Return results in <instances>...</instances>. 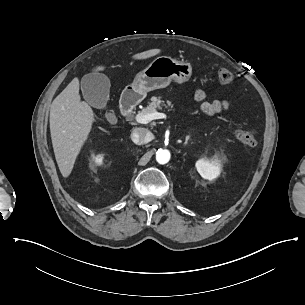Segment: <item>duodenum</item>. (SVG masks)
Instances as JSON below:
<instances>
[{"label":"duodenum","mask_w":305,"mask_h":305,"mask_svg":"<svg viewBox=\"0 0 305 305\" xmlns=\"http://www.w3.org/2000/svg\"><path fill=\"white\" fill-rule=\"evenodd\" d=\"M139 100L140 95L136 91H131L123 94L121 98V111L123 115L130 116Z\"/></svg>","instance_id":"410a0bca"}]
</instances>
